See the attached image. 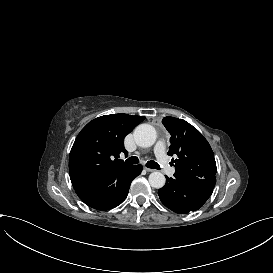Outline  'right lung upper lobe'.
<instances>
[{
	"instance_id": "obj_1",
	"label": "right lung upper lobe",
	"mask_w": 273,
	"mask_h": 273,
	"mask_svg": "<svg viewBox=\"0 0 273 273\" xmlns=\"http://www.w3.org/2000/svg\"><path fill=\"white\" fill-rule=\"evenodd\" d=\"M145 117L113 114L89 122L78 134L69 156L72 185L88 206L102 201L115 178L129 172L133 165L118 160L124 137Z\"/></svg>"
}]
</instances>
